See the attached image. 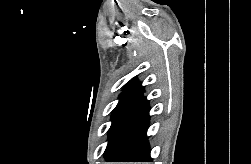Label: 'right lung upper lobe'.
<instances>
[{
    "label": "right lung upper lobe",
    "mask_w": 251,
    "mask_h": 164,
    "mask_svg": "<svg viewBox=\"0 0 251 164\" xmlns=\"http://www.w3.org/2000/svg\"><path fill=\"white\" fill-rule=\"evenodd\" d=\"M123 91L140 92L141 93L144 91V88L142 87L141 83H139L136 79H132L124 87Z\"/></svg>",
    "instance_id": "1"
}]
</instances>
